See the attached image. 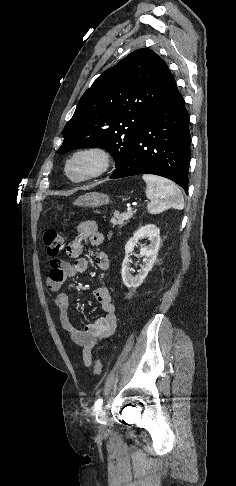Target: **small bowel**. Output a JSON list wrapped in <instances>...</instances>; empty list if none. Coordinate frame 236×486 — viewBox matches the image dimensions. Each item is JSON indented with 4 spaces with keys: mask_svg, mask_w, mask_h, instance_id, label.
<instances>
[{
    "mask_svg": "<svg viewBox=\"0 0 236 486\" xmlns=\"http://www.w3.org/2000/svg\"><path fill=\"white\" fill-rule=\"evenodd\" d=\"M89 242L93 246H99L104 242V236L98 231L94 221H84L77 226L75 238L67 245L66 254L73 258L72 263L53 259L51 270L47 277V287L53 292H58L54 303L59 315L63 330L72 341L82 348V359L85 366L92 364V350L104 338L111 336L117 326V315L112 296L107 286H100L92 291V296L97 300L105 315L86 324L82 329L75 327L69 317V297L64 292H59L68 277L84 273L88 268V262L80 257L84 245ZM95 264L101 271H107L110 260L106 253L99 252L95 256Z\"/></svg>",
    "mask_w": 236,
    "mask_h": 486,
    "instance_id": "c3829d8e",
    "label": "small bowel"
}]
</instances>
